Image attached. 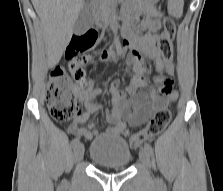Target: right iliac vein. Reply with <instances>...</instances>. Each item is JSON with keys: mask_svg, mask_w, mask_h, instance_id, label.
<instances>
[{"mask_svg": "<svg viewBox=\"0 0 223 191\" xmlns=\"http://www.w3.org/2000/svg\"><path fill=\"white\" fill-rule=\"evenodd\" d=\"M83 155H84V146L82 143H78L74 148V153H73L74 161L75 162L80 161Z\"/></svg>", "mask_w": 223, "mask_h": 191, "instance_id": "1", "label": "right iliac vein"}]
</instances>
